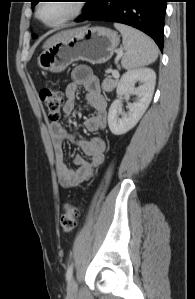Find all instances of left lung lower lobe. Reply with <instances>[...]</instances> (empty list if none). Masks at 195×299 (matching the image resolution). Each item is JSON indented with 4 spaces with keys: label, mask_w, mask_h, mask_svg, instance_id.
Segmentation results:
<instances>
[{
    "label": "left lung lower lobe",
    "mask_w": 195,
    "mask_h": 299,
    "mask_svg": "<svg viewBox=\"0 0 195 299\" xmlns=\"http://www.w3.org/2000/svg\"><path fill=\"white\" fill-rule=\"evenodd\" d=\"M167 0H89L76 19L126 24L149 35L163 49V29Z\"/></svg>",
    "instance_id": "1"
}]
</instances>
